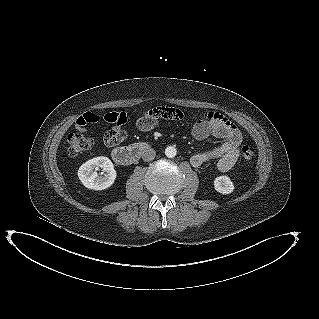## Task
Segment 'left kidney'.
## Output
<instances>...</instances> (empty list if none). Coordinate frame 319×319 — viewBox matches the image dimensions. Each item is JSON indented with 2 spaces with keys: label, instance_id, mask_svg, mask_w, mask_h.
Returning <instances> with one entry per match:
<instances>
[{
  "label": "left kidney",
  "instance_id": "left-kidney-1",
  "mask_svg": "<svg viewBox=\"0 0 319 319\" xmlns=\"http://www.w3.org/2000/svg\"><path fill=\"white\" fill-rule=\"evenodd\" d=\"M215 190L221 194H230L234 190V185L228 176H219L214 180Z\"/></svg>",
  "mask_w": 319,
  "mask_h": 319
}]
</instances>
